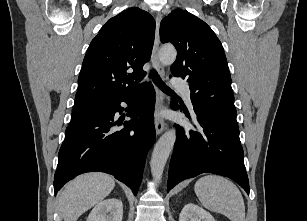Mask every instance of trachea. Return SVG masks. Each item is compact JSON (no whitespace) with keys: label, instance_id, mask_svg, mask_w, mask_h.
Instances as JSON below:
<instances>
[{"label":"trachea","instance_id":"1","mask_svg":"<svg viewBox=\"0 0 307 221\" xmlns=\"http://www.w3.org/2000/svg\"><path fill=\"white\" fill-rule=\"evenodd\" d=\"M152 79H153V82L155 83V85L161 89L163 92L165 93H174L163 81L162 79L160 78V76L158 75V73L155 71V70H152L150 72V75H149Z\"/></svg>","mask_w":307,"mask_h":221}]
</instances>
